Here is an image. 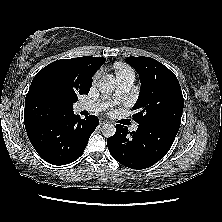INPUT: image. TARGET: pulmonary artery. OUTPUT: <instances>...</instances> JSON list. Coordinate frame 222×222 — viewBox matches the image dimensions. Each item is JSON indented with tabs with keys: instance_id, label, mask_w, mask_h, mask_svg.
<instances>
[{
	"instance_id": "obj_1",
	"label": "pulmonary artery",
	"mask_w": 222,
	"mask_h": 222,
	"mask_svg": "<svg viewBox=\"0 0 222 222\" xmlns=\"http://www.w3.org/2000/svg\"><path fill=\"white\" fill-rule=\"evenodd\" d=\"M133 78H124L117 81V89L114 94V100L120 101L126 97L128 92L133 86ZM107 107L106 103L103 102H81L78 104V110L89 111V112H99ZM138 129L137 124L132 126V130L136 131Z\"/></svg>"
}]
</instances>
